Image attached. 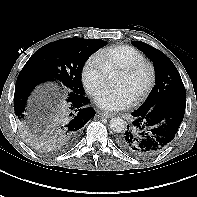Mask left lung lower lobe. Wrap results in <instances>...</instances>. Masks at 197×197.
<instances>
[{
	"label": "left lung lower lobe",
	"mask_w": 197,
	"mask_h": 197,
	"mask_svg": "<svg viewBox=\"0 0 197 197\" xmlns=\"http://www.w3.org/2000/svg\"><path fill=\"white\" fill-rule=\"evenodd\" d=\"M186 96H172L152 108L132 112L133 122L118 137L119 147L135 158H149L163 151L175 138L183 120Z\"/></svg>",
	"instance_id": "0a47b994"
}]
</instances>
